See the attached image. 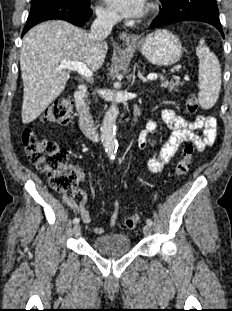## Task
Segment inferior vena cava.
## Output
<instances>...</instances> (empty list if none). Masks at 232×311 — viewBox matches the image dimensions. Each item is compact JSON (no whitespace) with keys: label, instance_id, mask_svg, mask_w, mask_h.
Returning a JSON list of instances; mask_svg holds the SVG:
<instances>
[{"label":"inferior vena cava","instance_id":"1","mask_svg":"<svg viewBox=\"0 0 232 311\" xmlns=\"http://www.w3.org/2000/svg\"><path fill=\"white\" fill-rule=\"evenodd\" d=\"M118 20V16L114 13L99 12L97 18L91 26L90 37L95 42H103L111 33L113 25Z\"/></svg>","mask_w":232,"mask_h":311}]
</instances>
